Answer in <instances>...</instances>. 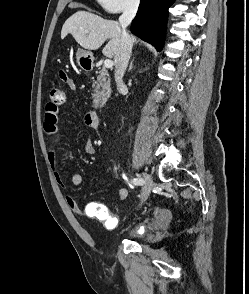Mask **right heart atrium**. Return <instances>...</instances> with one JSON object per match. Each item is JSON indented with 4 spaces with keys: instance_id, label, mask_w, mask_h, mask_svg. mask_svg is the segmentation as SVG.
Wrapping results in <instances>:
<instances>
[{
    "instance_id": "obj_1",
    "label": "right heart atrium",
    "mask_w": 249,
    "mask_h": 294,
    "mask_svg": "<svg viewBox=\"0 0 249 294\" xmlns=\"http://www.w3.org/2000/svg\"><path fill=\"white\" fill-rule=\"evenodd\" d=\"M101 7L109 13L135 10L140 0H97Z\"/></svg>"
}]
</instances>
